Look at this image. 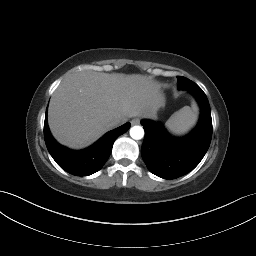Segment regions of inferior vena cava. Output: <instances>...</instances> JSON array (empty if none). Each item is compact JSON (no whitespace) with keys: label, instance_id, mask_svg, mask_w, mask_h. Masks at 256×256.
I'll return each instance as SVG.
<instances>
[{"label":"inferior vena cava","instance_id":"obj_1","mask_svg":"<svg viewBox=\"0 0 256 256\" xmlns=\"http://www.w3.org/2000/svg\"><path fill=\"white\" fill-rule=\"evenodd\" d=\"M122 123V121L120 119H115L110 123L111 127H116L118 125H120Z\"/></svg>","mask_w":256,"mask_h":256}]
</instances>
